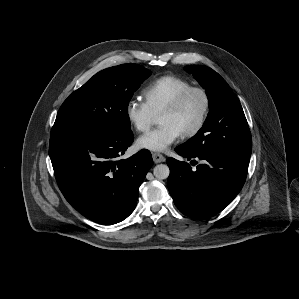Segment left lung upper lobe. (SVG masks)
Instances as JSON below:
<instances>
[{"label": "left lung upper lobe", "instance_id": "1", "mask_svg": "<svg viewBox=\"0 0 299 299\" xmlns=\"http://www.w3.org/2000/svg\"><path fill=\"white\" fill-rule=\"evenodd\" d=\"M205 89L209 113L197 134L182 144L198 155H236L250 157L252 140L242 106L225 80L203 65L185 66Z\"/></svg>", "mask_w": 299, "mask_h": 299}]
</instances>
